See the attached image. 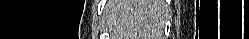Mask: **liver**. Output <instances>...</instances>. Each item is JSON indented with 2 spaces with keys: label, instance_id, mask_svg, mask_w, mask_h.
<instances>
[{
  "label": "liver",
  "instance_id": "liver-1",
  "mask_svg": "<svg viewBox=\"0 0 249 39\" xmlns=\"http://www.w3.org/2000/svg\"><path fill=\"white\" fill-rule=\"evenodd\" d=\"M165 12L163 0H114L108 25L115 39H161Z\"/></svg>",
  "mask_w": 249,
  "mask_h": 39
}]
</instances>
